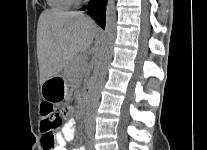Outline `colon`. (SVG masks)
I'll list each match as a JSON object with an SVG mask.
<instances>
[{
	"instance_id": "obj_1",
	"label": "colon",
	"mask_w": 207,
	"mask_h": 150,
	"mask_svg": "<svg viewBox=\"0 0 207 150\" xmlns=\"http://www.w3.org/2000/svg\"><path fill=\"white\" fill-rule=\"evenodd\" d=\"M69 109L66 106L56 105L47 101L41 107V131L43 133L44 150H53L55 147L54 135L66 120Z\"/></svg>"
}]
</instances>
